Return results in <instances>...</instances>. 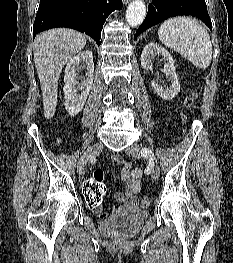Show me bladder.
<instances>
[{"label": "bladder", "mask_w": 233, "mask_h": 263, "mask_svg": "<svg viewBox=\"0 0 233 263\" xmlns=\"http://www.w3.org/2000/svg\"><path fill=\"white\" fill-rule=\"evenodd\" d=\"M147 216L146 211L137 208L116 211L100 222V230L105 235L128 238L137 232Z\"/></svg>", "instance_id": "31cf9c89"}]
</instances>
